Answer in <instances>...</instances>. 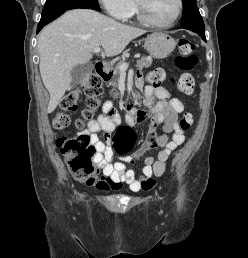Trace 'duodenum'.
Instances as JSON below:
<instances>
[{
  "label": "duodenum",
  "mask_w": 248,
  "mask_h": 258,
  "mask_svg": "<svg viewBox=\"0 0 248 258\" xmlns=\"http://www.w3.org/2000/svg\"><path fill=\"white\" fill-rule=\"evenodd\" d=\"M95 72L103 81H108L111 78V70H110L109 66H107L102 61L96 62ZM130 109L131 108H129V110ZM129 110L127 111V113L129 112Z\"/></svg>",
  "instance_id": "1"
}]
</instances>
